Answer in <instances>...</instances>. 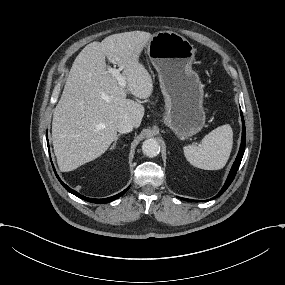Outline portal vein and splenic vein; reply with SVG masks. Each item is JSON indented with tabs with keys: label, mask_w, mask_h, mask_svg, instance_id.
Wrapping results in <instances>:
<instances>
[{
	"label": "portal vein and splenic vein",
	"mask_w": 285,
	"mask_h": 285,
	"mask_svg": "<svg viewBox=\"0 0 285 285\" xmlns=\"http://www.w3.org/2000/svg\"><path fill=\"white\" fill-rule=\"evenodd\" d=\"M123 69V67L122 68H119V69H109V73H111L112 74V76H114L115 78H116V80H117V82H118V84L120 85V86H125V85H127V77L126 76H123L122 74H121V70Z\"/></svg>",
	"instance_id": "18ae733b"
}]
</instances>
